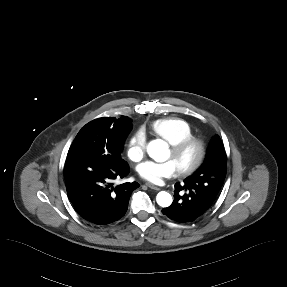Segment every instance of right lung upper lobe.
<instances>
[{
  "label": "right lung upper lobe",
  "instance_id": "obj_1",
  "mask_svg": "<svg viewBox=\"0 0 287 287\" xmlns=\"http://www.w3.org/2000/svg\"><path fill=\"white\" fill-rule=\"evenodd\" d=\"M97 128L98 134L106 140H113L118 137L121 131L127 128L131 121L127 116L120 118L104 117L91 121Z\"/></svg>",
  "mask_w": 287,
  "mask_h": 287
}]
</instances>
